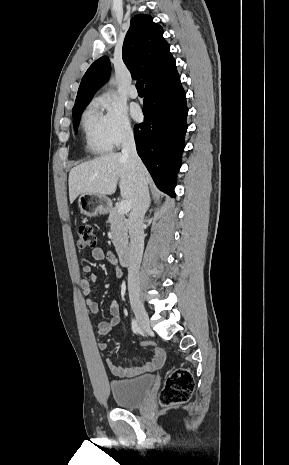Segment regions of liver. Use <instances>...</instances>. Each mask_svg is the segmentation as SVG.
<instances>
[{
  "label": "liver",
  "instance_id": "obj_1",
  "mask_svg": "<svg viewBox=\"0 0 289 465\" xmlns=\"http://www.w3.org/2000/svg\"><path fill=\"white\" fill-rule=\"evenodd\" d=\"M149 182V173L141 170ZM119 182L120 194L133 207L137 197V178L129 158L121 153H109L72 168L69 173V198L72 203L80 194L111 195Z\"/></svg>",
  "mask_w": 289,
  "mask_h": 465
}]
</instances>
